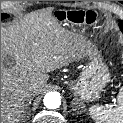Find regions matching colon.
<instances>
[{
    "mask_svg": "<svg viewBox=\"0 0 123 123\" xmlns=\"http://www.w3.org/2000/svg\"><path fill=\"white\" fill-rule=\"evenodd\" d=\"M121 58H122V63H123V53H122V56H121Z\"/></svg>",
    "mask_w": 123,
    "mask_h": 123,
    "instance_id": "obj_1",
    "label": "colon"
}]
</instances>
